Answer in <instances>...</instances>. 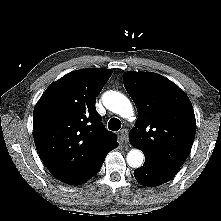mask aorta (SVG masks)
<instances>
[{"instance_id":"obj_1","label":"aorta","mask_w":221,"mask_h":221,"mask_svg":"<svg viewBox=\"0 0 221 221\" xmlns=\"http://www.w3.org/2000/svg\"><path fill=\"white\" fill-rule=\"evenodd\" d=\"M104 106L120 115L123 118H130L133 116V107L130 100L123 94L117 91H107L102 96ZM127 163L132 168H139L144 161V155L139 149H132L126 156Z\"/></svg>"}]
</instances>
